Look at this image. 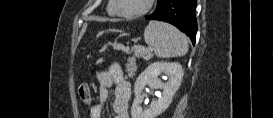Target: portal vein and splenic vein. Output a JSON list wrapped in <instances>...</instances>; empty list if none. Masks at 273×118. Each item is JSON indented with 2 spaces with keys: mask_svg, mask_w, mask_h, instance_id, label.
<instances>
[{
  "mask_svg": "<svg viewBox=\"0 0 273 118\" xmlns=\"http://www.w3.org/2000/svg\"><path fill=\"white\" fill-rule=\"evenodd\" d=\"M142 50H143L144 54H145V53H150V50H149V49L143 48Z\"/></svg>",
  "mask_w": 273,
  "mask_h": 118,
  "instance_id": "obj_1",
  "label": "portal vein and splenic vein"
}]
</instances>
